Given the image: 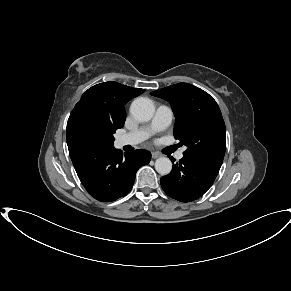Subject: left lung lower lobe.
<instances>
[{
  "label": "left lung lower lobe",
  "instance_id": "left-lung-lower-lobe-1",
  "mask_svg": "<svg viewBox=\"0 0 291 291\" xmlns=\"http://www.w3.org/2000/svg\"><path fill=\"white\" fill-rule=\"evenodd\" d=\"M220 167L218 163H204L184 156L173 165L168 175L160 179V183L168 196L181 202H191L212 186Z\"/></svg>",
  "mask_w": 291,
  "mask_h": 291
}]
</instances>
